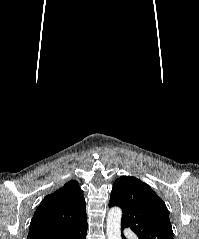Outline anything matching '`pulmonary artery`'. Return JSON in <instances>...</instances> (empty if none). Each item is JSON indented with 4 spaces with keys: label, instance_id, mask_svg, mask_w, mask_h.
Here are the masks:
<instances>
[{
    "label": "pulmonary artery",
    "instance_id": "obj_1",
    "mask_svg": "<svg viewBox=\"0 0 199 239\" xmlns=\"http://www.w3.org/2000/svg\"><path fill=\"white\" fill-rule=\"evenodd\" d=\"M125 234L129 239H137L136 234L130 229H126Z\"/></svg>",
    "mask_w": 199,
    "mask_h": 239
}]
</instances>
